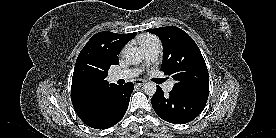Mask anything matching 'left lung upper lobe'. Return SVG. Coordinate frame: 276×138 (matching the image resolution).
I'll return each instance as SVG.
<instances>
[{"instance_id": "left-lung-upper-lobe-1", "label": "left lung upper lobe", "mask_w": 276, "mask_h": 138, "mask_svg": "<svg viewBox=\"0 0 276 138\" xmlns=\"http://www.w3.org/2000/svg\"><path fill=\"white\" fill-rule=\"evenodd\" d=\"M157 35L163 44L161 69L177 82L173 92L191 98L207 101L209 75L200 49L194 40L182 29L175 26L148 30Z\"/></svg>"}]
</instances>
